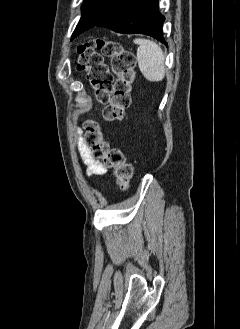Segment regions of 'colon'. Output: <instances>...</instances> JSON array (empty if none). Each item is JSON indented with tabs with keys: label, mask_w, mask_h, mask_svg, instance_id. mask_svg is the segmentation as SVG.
Wrapping results in <instances>:
<instances>
[{
	"label": "colon",
	"mask_w": 240,
	"mask_h": 329,
	"mask_svg": "<svg viewBox=\"0 0 240 329\" xmlns=\"http://www.w3.org/2000/svg\"><path fill=\"white\" fill-rule=\"evenodd\" d=\"M77 53V69L86 72L97 99L105 104L103 119L107 122L121 120L131 103L135 55L118 42L107 38H97L83 43L78 47ZM104 56L111 58V71L105 63ZM84 128L83 140L92 156L112 168L119 187L122 190L127 189L133 176V169L123 152L111 147L104 139L102 127L97 121H87Z\"/></svg>",
	"instance_id": "colon-1"
}]
</instances>
